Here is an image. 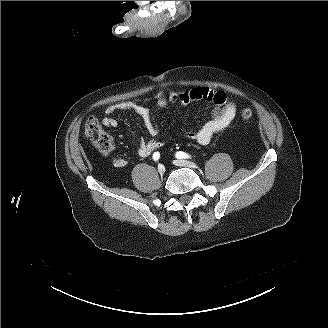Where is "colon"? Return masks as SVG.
Instances as JSON below:
<instances>
[{"mask_svg":"<svg viewBox=\"0 0 328 328\" xmlns=\"http://www.w3.org/2000/svg\"><path fill=\"white\" fill-rule=\"evenodd\" d=\"M253 116V112L249 108H243L241 110V117L244 120H249ZM85 133L92 140L93 144L101 152H109L112 149L113 141L110 135H108L99 125V121L95 117H89L85 125Z\"/></svg>","mask_w":328,"mask_h":328,"instance_id":"colon-1","label":"colon"}]
</instances>
